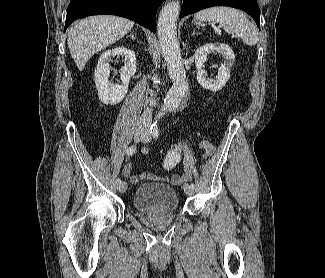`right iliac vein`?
I'll list each match as a JSON object with an SVG mask.
<instances>
[{"label": "right iliac vein", "mask_w": 325, "mask_h": 278, "mask_svg": "<svg viewBox=\"0 0 325 278\" xmlns=\"http://www.w3.org/2000/svg\"><path fill=\"white\" fill-rule=\"evenodd\" d=\"M145 134V130L141 127L137 128L134 132V140L138 141L140 140ZM117 190L120 193H124L127 190V183L125 181H123L122 183H120L117 187Z\"/></svg>", "instance_id": "63e3f726"}]
</instances>
